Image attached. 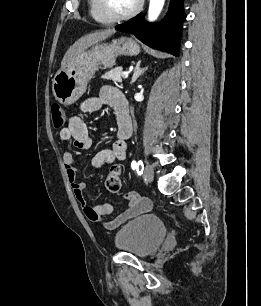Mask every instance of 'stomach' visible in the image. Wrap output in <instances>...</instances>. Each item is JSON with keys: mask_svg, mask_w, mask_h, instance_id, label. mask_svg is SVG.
<instances>
[{"mask_svg": "<svg viewBox=\"0 0 261 306\" xmlns=\"http://www.w3.org/2000/svg\"><path fill=\"white\" fill-rule=\"evenodd\" d=\"M139 53V45L128 37L95 44L56 73L52 84L55 99L64 105L73 104L86 92L88 82L99 67L111 68L118 56H136Z\"/></svg>", "mask_w": 261, "mask_h": 306, "instance_id": "1", "label": "stomach"}]
</instances>
